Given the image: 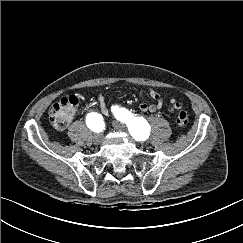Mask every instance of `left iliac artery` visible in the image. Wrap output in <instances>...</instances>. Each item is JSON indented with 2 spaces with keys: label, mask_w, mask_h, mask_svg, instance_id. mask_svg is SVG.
Instances as JSON below:
<instances>
[{
  "label": "left iliac artery",
  "mask_w": 243,
  "mask_h": 243,
  "mask_svg": "<svg viewBox=\"0 0 243 243\" xmlns=\"http://www.w3.org/2000/svg\"><path fill=\"white\" fill-rule=\"evenodd\" d=\"M112 112L119 121L127 124L129 132L136 140L147 139L149 125L143 117H135L125 108H119L118 106H113Z\"/></svg>",
  "instance_id": "44dca946"
}]
</instances>
